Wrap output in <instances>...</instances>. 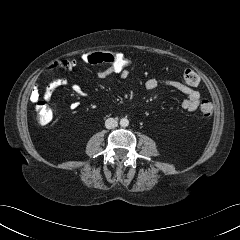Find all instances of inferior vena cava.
I'll use <instances>...</instances> for the list:
<instances>
[{
	"mask_svg": "<svg viewBox=\"0 0 240 240\" xmlns=\"http://www.w3.org/2000/svg\"><path fill=\"white\" fill-rule=\"evenodd\" d=\"M117 126H118V122L114 118H108L105 121V127L107 129H113V128L117 127Z\"/></svg>",
	"mask_w": 240,
	"mask_h": 240,
	"instance_id": "obj_1",
	"label": "inferior vena cava"
}]
</instances>
